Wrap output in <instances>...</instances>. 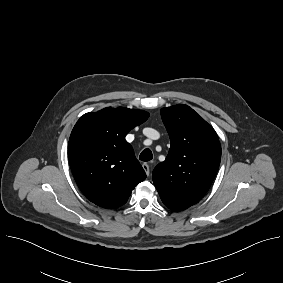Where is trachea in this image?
Segmentation results:
<instances>
[{
    "label": "trachea",
    "instance_id": "3493384b",
    "mask_svg": "<svg viewBox=\"0 0 283 283\" xmlns=\"http://www.w3.org/2000/svg\"><path fill=\"white\" fill-rule=\"evenodd\" d=\"M152 158H153V155L150 149H144L139 156V159L145 162L150 161Z\"/></svg>",
    "mask_w": 283,
    "mask_h": 283
}]
</instances>
